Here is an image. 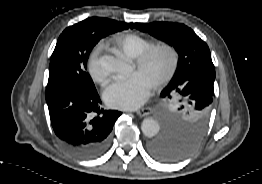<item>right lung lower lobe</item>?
Listing matches in <instances>:
<instances>
[{"label":"right lung lower lobe","mask_w":262,"mask_h":184,"mask_svg":"<svg viewBox=\"0 0 262 184\" xmlns=\"http://www.w3.org/2000/svg\"><path fill=\"white\" fill-rule=\"evenodd\" d=\"M45 97L52 127L63 146L82 158H95L105 151L121 112L104 110L96 89L50 85Z\"/></svg>","instance_id":"98d812e1"}]
</instances>
